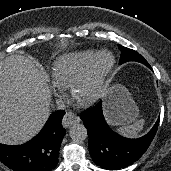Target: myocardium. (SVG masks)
<instances>
[{
	"instance_id": "obj_1",
	"label": "myocardium",
	"mask_w": 171,
	"mask_h": 171,
	"mask_svg": "<svg viewBox=\"0 0 171 171\" xmlns=\"http://www.w3.org/2000/svg\"><path fill=\"white\" fill-rule=\"evenodd\" d=\"M107 54L110 57L109 63L101 68L94 77V91L93 93L85 99H80L78 97V90L80 86L86 83L92 76L95 71V67L98 59ZM115 65V56L114 54L107 49L100 50L95 52L92 56L86 67L73 79L70 84V95L73 101L82 107H88L97 103L104 95L106 90V81Z\"/></svg>"
}]
</instances>
